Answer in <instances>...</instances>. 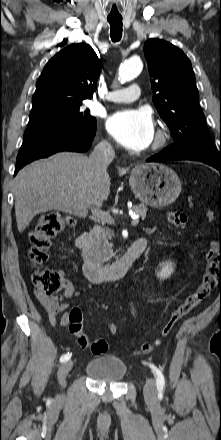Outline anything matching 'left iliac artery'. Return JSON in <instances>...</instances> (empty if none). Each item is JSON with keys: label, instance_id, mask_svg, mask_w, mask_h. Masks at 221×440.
Listing matches in <instances>:
<instances>
[{"label": "left iliac artery", "instance_id": "left-iliac-artery-1", "mask_svg": "<svg viewBox=\"0 0 221 440\" xmlns=\"http://www.w3.org/2000/svg\"><path fill=\"white\" fill-rule=\"evenodd\" d=\"M150 367L152 368L153 372L156 374V384H157L158 392L162 393L164 386H165L164 375H163L162 371L160 369H158L156 366L150 365Z\"/></svg>", "mask_w": 221, "mask_h": 440}]
</instances>
